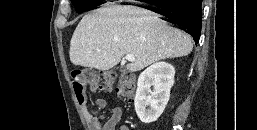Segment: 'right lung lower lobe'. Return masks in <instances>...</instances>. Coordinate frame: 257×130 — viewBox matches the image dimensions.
I'll list each match as a JSON object with an SVG mask.
<instances>
[{
	"label": "right lung lower lobe",
	"mask_w": 257,
	"mask_h": 130,
	"mask_svg": "<svg viewBox=\"0 0 257 130\" xmlns=\"http://www.w3.org/2000/svg\"><path fill=\"white\" fill-rule=\"evenodd\" d=\"M164 20L179 26L198 42L201 33L202 0H168L153 4Z\"/></svg>",
	"instance_id": "right-lung-lower-lobe-1"
}]
</instances>
